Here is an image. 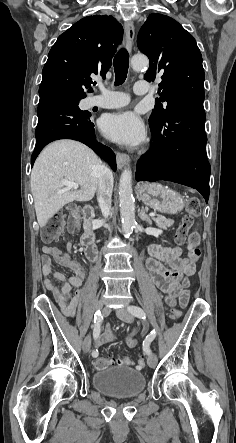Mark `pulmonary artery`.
<instances>
[{
  "label": "pulmonary artery",
  "mask_w": 236,
  "mask_h": 443,
  "mask_svg": "<svg viewBox=\"0 0 236 443\" xmlns=\"http://www.w3.org/2000/svg\"><path fill=\"white\" fill-rule=\"evenodd\" d=\"M97 87L100 92L107 93V94H113L116 96L114 100L110 101H102L97 96H91L88 98L87 106L89 108L92 107H100V108H119L125 106L129 102V96L123 92H115L112 90H109L103 86V84L98 83ZM134 92L138 95H144L148 93L149 91V85L145 81H138L135 83Z\"/></svg>",
  "instance_id": "obj_1"
}]
</instances>
